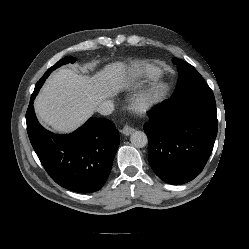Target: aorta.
<instances>
[{"label": "aorta", "mask_w": 249, "mask_h": 249, "mask_svg": "<svg viewBox=\"0 0 249 249\" xmlns=\"http://www.w3.org/2000/svg\"><path fill=\"white\" fill-rule=\"evenodd\" d=\"M131 144L136 148H143L147 145L148 139L144 132L134 131L130 136Z\"/></svg>", "instance_id": "1"}]
</instances>
